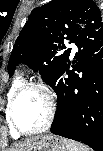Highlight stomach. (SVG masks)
I'll use <instances>...</instances> for the list:
<instances>
[{"label":"stomach","mask_w":103,"mask_h":151,"mask_svg":"<svg viewBox=\"0 0 103 151\" xmlns=\"http://www.w3.org/2000/svg\"><path fill=\"white\" fill-rule=\"evenodd\" d=\"M26 151H66V147L62 138L42 135L36 137Z\"/></svg>","instance_id":"1"}]
</instances>
